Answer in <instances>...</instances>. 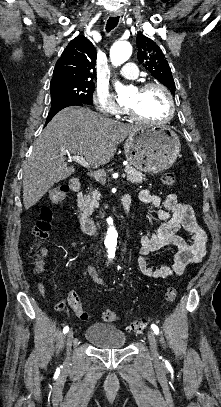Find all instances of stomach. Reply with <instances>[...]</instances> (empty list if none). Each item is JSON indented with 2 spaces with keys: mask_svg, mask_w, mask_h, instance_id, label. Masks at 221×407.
Instances as JSON below:
<instances>
[{
  "mask_svg": "<svg viewBox=\"0 0 221 407\" xmlns=\"http://www.w3.org/2000/svg\"><path fill=\"white\" fill-rule=\"evenodd\" d=\"M180 151L177 134L169 127H138L127 138L124 152L136 169L157 174L175 162Z\"/></svg>",
  "mask_w": 221,
  "mask_h": 407,
  "instance_id": "obj_1",
  "label": "stomach"
}]
</instances>
